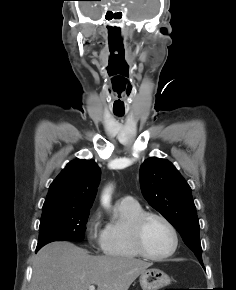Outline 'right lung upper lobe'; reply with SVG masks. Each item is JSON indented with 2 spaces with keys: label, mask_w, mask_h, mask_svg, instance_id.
Listing matches in <instances>:
<instances>
[{
  "label": "right lung upper lobe",
  "mask_w": 236,
  "mask_h": 290,
  "mask_svg": "<svg viewBox=\"0 0 236 290\" xmlns=\"http://www.w3.org/2000/svg\"><path fill=\"white\" fill-rule=\"evenodd\" d=\"M99 180L100 168L94 160L70 161L51 183L42 210H90Z\"/></svg>",
  "instance_id": "right-lung-upper-lobe-1"
}]
</instances>
